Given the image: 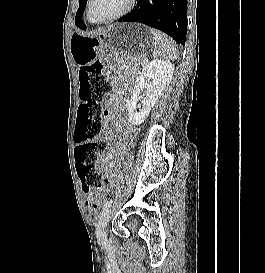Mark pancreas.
<instances>
[{
  "label": "pancreas",
  "mask_w": 265,
  "mask_h": 273,
  "mask_svg": "<svg viewBox=\"0 0 265 273\" xmlns=\"http://www.w3.org/2000/svg\"><path fill=\"white\" fill-rule=\"evenodd\" d=\"M138 65H143V64H145V61H144V59L141 57V58H138V59H136V61H135Z\"/></svg>",
  "instance_id": "cf45deb5"
}]
</instances>
